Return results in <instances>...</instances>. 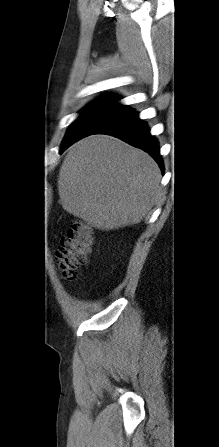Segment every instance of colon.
<instances>
[{"instance_id": "5ec220e1", "label": "colon", "mask_w": 219, "mask_h": 447, "mask_svg": "<svg viewBox=\"0 0 219 447\" xmlns=\"http://www.w3.org/2000/svg\"><path fill=\"white\" fill-rule=\"evenodd\" d=\"M92 244L91 226L80 220L73 222L56 251V262L65 280L77 279L79 269L88 261Z\"/></svg>"}]
</instances>
